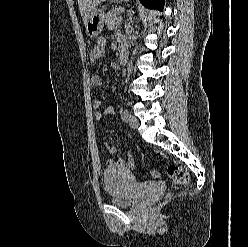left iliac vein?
<instances>
[{
  "label": "left iliac vein",
  "instance_id": "4c4485c4",
  "mask_svg": "<svg viewBox=\"0 0 248 247\" xmlns=\"http://www.w3.org/2000/svg\"><path fill=\"white\" fill-rule=\"evenodd\" d=\"M129 125L131 128L136 129L139 126V122H138L137 118L130 115Z\"/></svg>",
  "mask_w": 248,
  "mask_h": 247
}]
</instances>
